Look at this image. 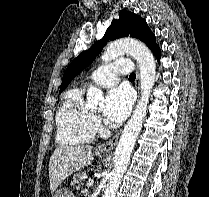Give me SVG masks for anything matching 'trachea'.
<instances>
[{"label":"trachea","mask_w":209,"mask_h":197,"mask_svg":"<svg viewBox=\"0 0 209 197\" xmlns=\"http://www.w3.org/2000/svg\"><path fill=\"white\" fill-rule=\"evenodd\" d=\"M129 78L135 79V78H136L135 73H131V74L129 75Z\"/></svg>","instance_id":"trachea-1"}]
</instances>
